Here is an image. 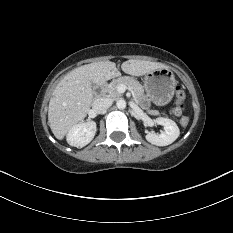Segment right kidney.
<instances>
[{
	"mask_svg": "<svg viewBox=\"0 0 233 233\" xmlns=\"http://www.w3.org/2000/svg\"><path fill=\"white\" fill-rule=\"evenodd\" d=\"M96 130L94 121L77 124L68 132L67 142L71 146L82 148L92 141Z\"/></svg>",
	"mask_w": 233,
	"mask_h": 233,
	"instance_id": "obj_1",
	"label": "right kidney"
}]
</instances>
